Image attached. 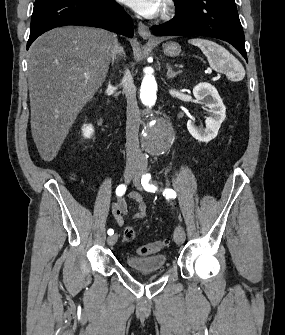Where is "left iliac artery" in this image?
I'll return each instance as SVG.
<instances>
[{"instance_id":"obj_1","label":"left iliac artery","mask_w":285,"mask_h":335,"mask_svg":"<svg viewBox=\"0 0 285 335\" xmlns=\"http://www.w3.org/2000/svg\"><path fill=\"white\" fill-rule=\"evenodd\" d=\"M150 180H151V175L150 174H145V175L142 176L141 184L146 191L155 192L157 190V187L153 183L149 184ZM163 196L170 197V198H175L176 197V192L172 189H165L163 191Z\"/></svg>"}]
</instances>
